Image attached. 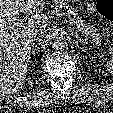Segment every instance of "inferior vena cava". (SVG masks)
<instances>
[{"label":"inferior vena cava","mask_w":113,"mask_h":113,"mask_svg":"<svg viewBox=\"0 0 113 113\" xmlns=\"http://www.w3.org/2000/svg\"><path fill=\"white\" fill-rule=\"evenodd\" d=\"M48 30V25H42L34 29L33 38L43 37L44 33Z\"/></svg>","instance_id":"602c4592"}]
</instances>
